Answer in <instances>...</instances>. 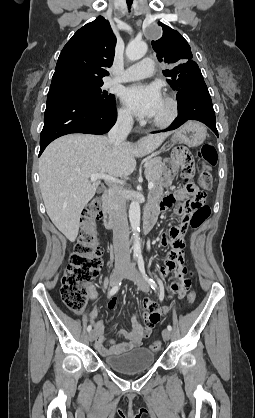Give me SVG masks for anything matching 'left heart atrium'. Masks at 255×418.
Returning a JSON list of instances; mask_svg holds the SVG:
<instances>
[{
	"instance_id": "obj_1",
	"label": "left heart atrium",
	"mask_w": 255,
	"mask_h": 418,
	"mask_svg": "<svg viewBox=\"0 0 255 418\" xmlns=\"http://www.w3.org/2000/svg\"><path fill=\"white\" fill-rule=\"evenodd\" d=\"M122 100L136 116L152 118L160 108L163 97L156 85L134 84L124 89Z\"/></svg>"
}]
</instances>
